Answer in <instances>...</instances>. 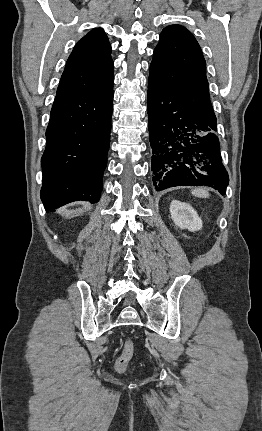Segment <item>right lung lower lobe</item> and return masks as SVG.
Here are the masks:
<instances>
[{
	"label": "right lung lower lobe",
	"instance_id": "obj_1",
	"mask_svg": "<svg viewBox=\"0 0 262 431\" xmlns=\"http://www.w3.org/2000/svg\"><path fill=\"white\" fill-rule=\"evenodd\" d=\"M113 89L102 95L56 96L41 159L46 211L100 199L110 143Z\"/></svg>",
	"mask_w": 262,
	"mask_h": 431
}]
</instances>
